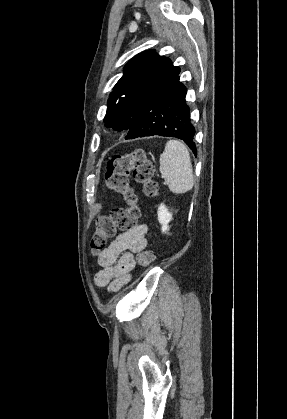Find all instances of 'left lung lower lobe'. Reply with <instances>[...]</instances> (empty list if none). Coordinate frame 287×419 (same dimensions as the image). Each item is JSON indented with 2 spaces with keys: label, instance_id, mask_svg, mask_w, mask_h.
Returning <instances> with one entry per match:
<instances>
[{
  "label": "left lung lower lobe",
  "instance_id": "obj_1",
  "mask_svg": "<svg viewBox=\"0 0 287 419\" xmlns=\"http://www.w3.org/2000/svg\"><path fill=\"white\" fill-rule=\"evenodd\" d=\"M186 92L178 77L170 87L146 101L135 114L125 139L154 135L175 137L183 140L197 155L195 128L185 103Z\"/></svg>",
  "mask_w": 287,
  "mask_h": 419
}]
</instances>
